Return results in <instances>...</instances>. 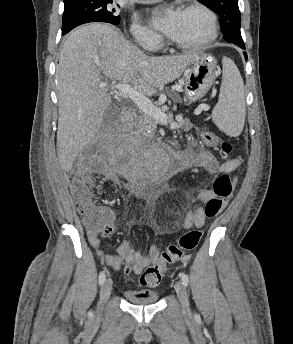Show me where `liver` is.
I'll use <instances>...</instances> for the list:
<instances>
[{
    "label": "liver",
    "instance_id": "liver-1",
    "mask_svg": "<svg viewBox=\"0 0 293 344\" xmlns=\"http://www.w3.org/2000/svg\"><path fill=\"white\" fill-rule=\"evenodd\" d=\"M197 53L148 56L106 24H88L65 40L59 57L57 154L65 171L100 129L112 104L108 80L131 85L143 95L177 79ZM105 80V81H104Z\"/></svg>",
    "mask_w": 293,
    "mask_h": 344
}]
</instances>
